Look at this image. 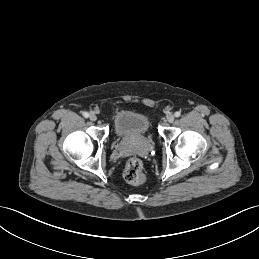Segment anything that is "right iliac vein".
I'll list each match as a JSON object with an SVG mask.
<instances>
[{
    "label": "right iliac vein",
    "instance_id": "63e3f726",
    "mask_svg": "<svg viewBox=\"0 0 259 259\" xmlns=\"http://www.w3.org/2000/svg\"><path fill=\"white\" fill-rule=\"evenodd\" d=\"M89 119L91 121H96L97 120V116L94 113H91L90 116H89Z\"/></svg>",
    "mask_w": 259,
    "mask_h": 259
}]
</instances>
